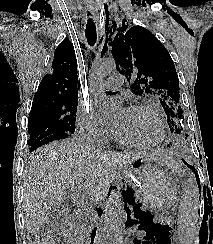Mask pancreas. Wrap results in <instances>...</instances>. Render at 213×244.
<instances>
[{"label":"pancreas","instance_id":"1","mask_svg":"<svg viewBox=\"0 0 213 244\" xmlns=\"http://www.w3.org/2000/svg\"><path fill=\"white\" fill-rule=\"evenodd\" d=\"M90 231H91V227L87 224H83L80 228V238L87 239Z\"/></svg>","mask_w":213,"mask_h":244}]
</instances>
